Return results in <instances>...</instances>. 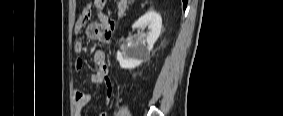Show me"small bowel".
<instances>
[{
    "label": "small bowel",
    "mask_w": 283,
    "mask_h": 116,
    "mask_svg": "<svg viewBox=\"0 0 283 116\" xmlns=\"http://www.w3.org/2000/svg\"><path fill=\"white\" fill-rule=\"evenodd\" d=\"M105 0L94 1V11L97 15V21L89 24L86 27V35L90 40L98 42H108L112 31L115 27L114 22L103 12H101V4H104ZM92 13V9L88 8L84 10L79 19L77 20L75 30L78 33L87 23ZM84 48L82 40H77L75 44L76 53H81ZM93 62L96 70L91 74V82L95 84L104 83L106 86L107 99H110L114 91L113 80L109 76V69L105 62V55L101 50H96L93 56ZM76 70L81 71L84 67V60L78 57L75 64ZM91 95L87 92L76 90L74 92V107L75 116L81 115V110L89 103ZM99 116H107V111H101Z\"/></svg>",
    "instance_id": "1"
}]
</instances>
